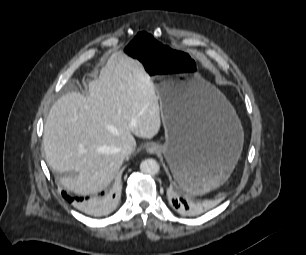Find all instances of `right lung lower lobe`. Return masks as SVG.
Segmentation results:
<instances>
[{
    "mask_svg": "<svg viewBox=\"0 0 306 255\" xmlns=\"http://www.w3.org/2000/svg\"><path fill=\"white\" fill-rule=\"evenodd\" d=\"M62 196L70 203L73 202L80 210L90 215H100L107 211L115 198V194L107 193L103 195L101 193L100 196L89 199L88 197H70L66 192H62Z\"/></svg>",
    "mask_w": 306,
    "mask_h": 255,
    "instance_id": "98d812e1",
    "label": "right lung lower lobe"
}]
</instances>
